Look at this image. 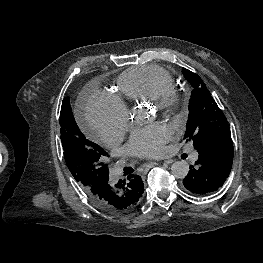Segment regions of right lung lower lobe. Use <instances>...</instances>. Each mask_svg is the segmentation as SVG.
<instances>
[{
  "label": "right lung lower lobe",
  "instance_id": "1",
  "mask_svg": "<svg viewBox=\"0 0 263 263\" xmlns=\"http://www.w3.org/2000/svg\"><path fill=\"white\" fill-rule=\"evenodd\" d=\"M143 184L140 176L129 175L127 180H119L113 185L109 178L102 183L88 187L85 192L89 200L103 211L113 213L122 205L126 204L130 196V188ZM144 185V184H143Z\"/></svg>",
  "mask_w": 263,
  "mask_h": 263
}]
</instances>
